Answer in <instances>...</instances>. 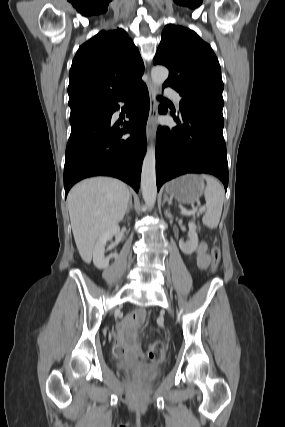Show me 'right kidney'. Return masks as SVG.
Listing matches in <instances>:
<instances>
[{
	"instance_id": "right-kidney-1",
	"label": "right kidney",
	"mask_w": 285,
	"mask_h": 427,
	"mask_svg": "<svg viewBox=\"0 0 285 427\" xmlns=\"http://www.w3.org/2000/svg\"><path fill=\"white\" fill-rule=\"evenodd\" d=\"M119 233V227H113L110 230H108L107 232H105L103 235H101L97 242L96 245L94 247L93 250V263L94 265L98 268V269H106L109 267V260L111 258H117L118 255L115 254H111L108 257H105V245L107 243V241L117 235Z\"/></svg>"
}]
</instances>
